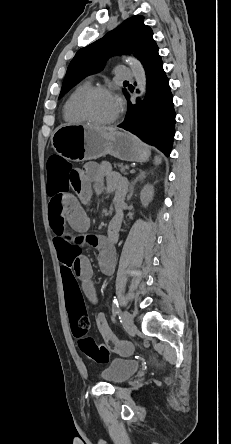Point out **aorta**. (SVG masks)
I'll list each match as a JSON object with an SVG mask.
<instances>
[{"label": "aorta", "instance_id": "762f6f07", "mask_svg": "<svg viewBox=\"0 0 231 444\" xmlns=\"http://www.w3.org/2000/svg\"><path fill=\"white\" fill-rule=\"evenodd\" d=\"M131 69L135 80L137 82V88L140 91V96H143L146 92V75L142 64L134 57L130 58Z\"/></svg>", "mask_w": 231, "mask_h": 444}]
</instances>
